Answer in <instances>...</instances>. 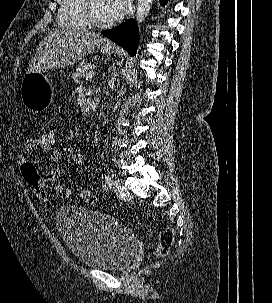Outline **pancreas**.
<instances>
[{
  "label": "pancreas",
  "mask_w": 272,
  "mask_h": 303,
  "mask_svg": "<svg viewBox=\"0 0 272 303\" xmlns=\"http://www.w3.org/2000/svg\"><path fill=\"white\" fill-rule=\"evenodd\" d=\"M92 65L91 64H84L76 69V72L73 74L72 78L75 83H79L80 78L86 77V75L91 71Z\"/></svg>",
  "instance_id": "obj_1"
}]
</instances>
